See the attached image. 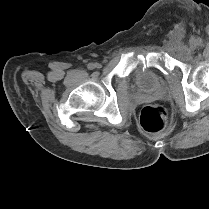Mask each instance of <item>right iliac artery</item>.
<instances>
[{
	"mask_svg": "<svg viewBox=\"0 0 209 209\" xmlns=\"http://www.w3.org/2000/svg\"><path fill=\"white\" fill-rule=\"evenodd\" d=\"M95 68V65L93 63L88 64V69L92 70Z\"/></svg>",
	"mask_w": 209,
	"mask_h": 209,
	"instance_id": "1",
	"label": "right iliac artery"
}]
</instances>
